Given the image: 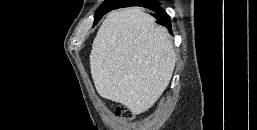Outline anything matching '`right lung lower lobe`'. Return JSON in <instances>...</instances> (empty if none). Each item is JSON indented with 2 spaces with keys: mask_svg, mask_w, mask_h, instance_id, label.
<instances>
[{
  "mask_svg": "<svg viewBox=\"0 0 257 130\" xmlns=\"http://www.w3.org/2000/svg\"><path fill=\"white\" fill-rule=\"evenodd\" d=\"M125 3L122 7L128 6H141L153 10L155 12V18L157 23L168 27L171 30V20L169 15L165 12L163 8L160 7L159 3L155 0H143V1H124ZM121 7V8H122Z\"/></svg>",
  "mask_w": 257,
  "mask_h": 130,
  "instance_id": "1",
  "label": "right lung lower lobe"
}]
</instances>
